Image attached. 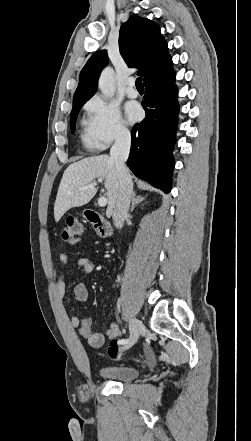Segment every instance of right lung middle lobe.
Masks as SVG:
<instances>
[{"label": "right lung middle lobe", "mask_w": 251, "mask_h": 441, "mask_svg": "<svg viewBox=\"0 0 251 441\" xmlns=\"http://www.w3.org/2000/svg\"><path fill=\"white\" fill-rule=\"evenodd\" d=\"M87 100L88 99H82V100H77V101L73 102V108H72L71 116H70V125H71V130L73 132L75 131V127H76L77 115Z\"/></svg>", "instance_id": "dd1d6c3e"}]
</instances>
